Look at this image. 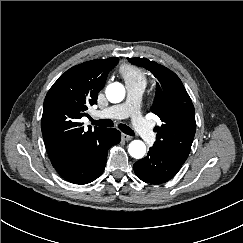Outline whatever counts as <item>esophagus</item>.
Returning <instances> with one entry per match:
<instances>
[{"label": "esophagus", "mask_w": 243, "mask_h": 243, "mask_svg": "<svg viewBox=\"0 0 243 243\" xmlns=\"http://www.w3.org/2000/svg\"><path fill=\"white\" fill-rule=\"evenodd\" d=\"M122 139L125 140V141H130L132 139V137L123 133L122 134Z\"/></svg>", "instance_id": "1"}]
</instances>
